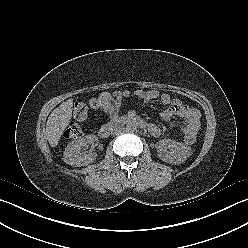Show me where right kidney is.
I'll use <instances>...</instances> for the list:
<instances>
[{
	"label": "right kidney",
	"instance_id": "ca27d5eb",
	"mask_svg": "<svg viewBox=\"0 0 248 248\" xmlns=\"http://www.w3.org/2000/svg\"><path fill=\"white\" fill-rule=\"evenodd\" d=\"M98 138L95 135H87L81 139L70 142L64 151V162L75 167L87 166L95 161L97 154L92 150ZM91 146L89 152H82L83 148Z\"/></svg>",
	"mask_w": 248,
	"mask_h": 248
}]
</instances>
